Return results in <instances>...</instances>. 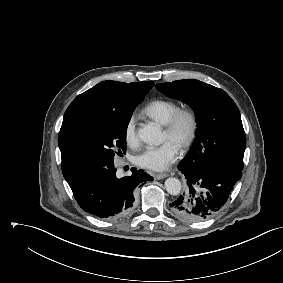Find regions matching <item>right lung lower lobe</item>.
I'll list each match as a JSON object with an SVG mask.
<instances>
[{"mask_svg":"<svg viewBox=\"0 0 283 283\" xmlns=\"http://www.w3.org/2000/svg\"><path fill=\"white\" fill-rule=\"evenodd\" d=\"M132 175L118 179L116 168L88 169L68 181L79 206L99 218H116L128 213L139 183L153 178L143 170L131 169Z\"/></svg>","mask_w":283,"mask_h":283,"instance_id":"right-lung-lower-lobe-1","label":"right lung lower lobe"}]
</instances>
